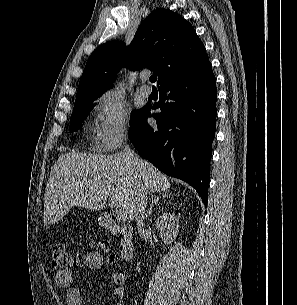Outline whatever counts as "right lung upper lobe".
Masks as SVG:
<instances>
[{
  "label": "right lung upper lobe",
  "mask_w": 297,
  "mask_h": 305,
  "mask_svg": "<svg viewBox=\"0 0 297 305\" xmlns=\"http://www.w3.org/2000/svg\"><path fill=\"white\" fill-rule=\"evenodd\" d=\"M209 64L205 46L192 25L177 13L156 9L141 23L128 47L122 41H110L94 50L80 79L76 101L100 97L123 66L135 70L147 67L162 85Z\"/></svg>",
  "instance_id": "obj_1"
}]
</instances>
